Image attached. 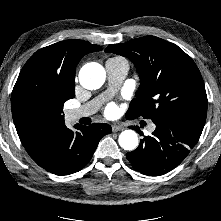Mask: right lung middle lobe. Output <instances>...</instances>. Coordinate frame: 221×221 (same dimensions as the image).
Masks as SVG:
<instances>
[{
	"instance_id": "right-lung-middle-lobe-1",
	"label": "right lung middle lobe",
	"mask_w": 221,
	"mask_h": 221,
	"mask_svg": "<svg viewBox=\"0 0 221 221\" xmlns=\"http://www.w3.org/2000/svg\"><path fill=\"white\" fill-rule=\"evenodd\" d=\"M74 85L44 72H20L11 97L12 114L43 125H57L64 121L65 101L75 97Z\"/></svg>"
}]
</instances>
